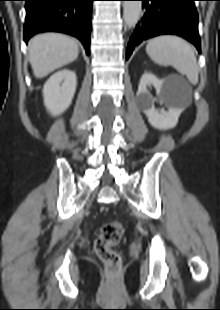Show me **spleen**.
Listing matches in <instances>:
<instances>
[{
	"instance_id": "3e777b00",
	"label": "spleen",
	"mask_w": 220,
	"mask_h": 310,
	"mask_svg": "<svg viewBox=\"0 0 220 310\" xmlns=\"http://www.w3.org/2000/svg\"><path fill=\"white\" fill-rule=\"evenodd\" d=\"M146 52L157 64L173 66L179 73L186 75L192 85L198 83V66L191 45L184 39L163 35L151 39Z\"/></svg>"
}]
</instances>
